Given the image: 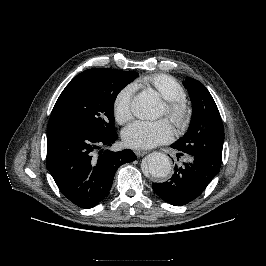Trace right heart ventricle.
<instances>
[{"label": "right heart ventricle", "mask_w": 266, "mask_h": 266, "mask_svg": "<svg viewBox=\"0 0 266 266\" xmlns=\"http://www.w3.org/2000/svg\"><path fill=\"white\" fill-rule=\"evenodd\" d=\"M138 84L153 87L165 100L185 99L186 91L181 83L168 74H152L143 77Z\"/></svg>", "instance_id": "obj_1"}]
</instances>
